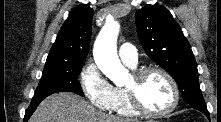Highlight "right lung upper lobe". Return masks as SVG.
<instances>
[{
  "label": "right lung upper lobe",
  "mask_w": 221,
  "mask_h": 122,
  "mask_svg": "<svg viewBox=\"0 0 221 122\" xmlns=\"http://www.w3.org/2000/svg\"><path fill=\"white\" fill-rule=\"evenodd\" d=\"M93 12L88 5L77 6L70 12L50 49L46 63L84 62L91 39Z\"/></svg>",
  "instance_id": "cb5924a9"
}]
</instances>
